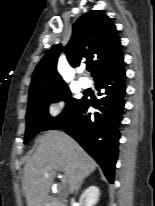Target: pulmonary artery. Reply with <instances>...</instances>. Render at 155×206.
<instances>
[{
  "label": "pulmonary artery",
  "mask_w": 155,
  "mask_h": 206,
  "mask_svg": "<svg viewBox=\"0 0 155 206\" xmlns=\"http://www.w3.org/2000/svg\"><path fill=\"white\" fill-rule=\"evenodd\" d=\"M79 84L82 88H88L91 83L87 77H81L79 78Z\"/></svg>",
  "instance_id": "obj_1"
}]
</instances>
